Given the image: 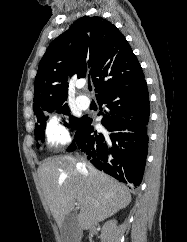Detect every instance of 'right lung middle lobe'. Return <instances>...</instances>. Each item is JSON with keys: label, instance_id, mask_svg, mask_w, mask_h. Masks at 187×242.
Returning <instances> with one entry per match:
<instances>
[{"label": "right lung middle lobe", "instance_id": "1", "mask_svg": "<svg viewBox=\"0 0 187 242\" xmlns=\"http://www.w3.org/2000/svg\"><path fill=\"white\" fill-rule=\"evenodd\" d=\"M55 109H57L58 113L68 114V112H69L67 105H64L62 107H58V108H55ZM55 109L49 110L47 112L51 113ZM44 113H46V112H44ZM44 113L36 115L37 120H38V123L35 125L36 140H38V139L42 140V138L44 137V129L46 127V120L45 119H47V117H45ZM82 119H83V117L82 118H76V117L70 116V123H71V125H73V128L76 129L79 126V124L81 123ZM38 147H39V145H38Z\"/></svg>", "mask_w": 187, "mask_h": 242}]
</instances>
